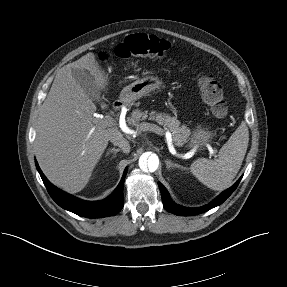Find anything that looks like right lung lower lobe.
Masks as SVG:
<instances>
[{"mask_svg":"<svg viewBox=\"0 0 287 287\" xmlns=\"http://www.w3.org/2000/svg\"><path fill=\"white\" fill-rule=\"evenodd\" d=\"M36 168L40 173L44 185L52 199L62 208L71 211L79 216L87 218H103L117 214L123 207V183L126 177L127 168L125 169L122 179L114 192L101 201H85L76 198L51 184L44 176L38 163L35 162Z\"/></svg>","mask_w":287,"mask_h":287,"instance_id":"1","label":"right lung lower lobe"}]
</instances>
